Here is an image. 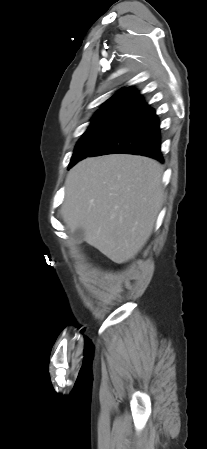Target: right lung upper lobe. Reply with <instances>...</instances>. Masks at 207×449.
<instances>
[{
  "instance_id": "cb5924a9",
  "label": "right lung upper lobe",
  "mask_w": 207,
  "mask_h": 449,
  "mask_svg": "<svg viewBox=\"0 0 207 449\" xmlns=\"http://www.w3.org/2000/svg\"><path fill=\"white\" fill-rule=\"evenodd\" d=\"M148 105L142 100L138 92L131 87L125 88L108 99L96 114L108 112H130L138 114Z\"/></svg>"
}]
</instances>
